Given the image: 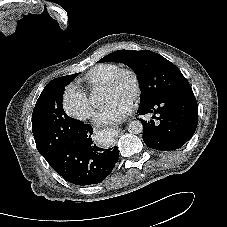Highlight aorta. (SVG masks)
<instances>
[{
	"instance_id": "aorta-1",
	"label": "aorta",
	"mask_w": 227,
	"mask_h": 227,
	"mask_svg": "<svg viewBox=\"0 0 227 227\" xmlns=\"http://www.w3.org/2000/svg\"><path fill=\"white\" fill-rule=\"evenodd\" d=\"M127 129L131 134H140L143 131V125L139 120H134L129 122Z\"/></svg>"
}]
</instances>
